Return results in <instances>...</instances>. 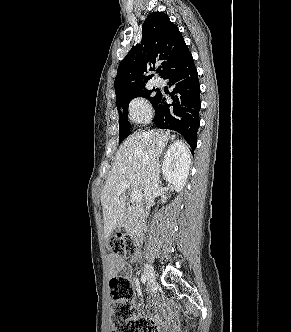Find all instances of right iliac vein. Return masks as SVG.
I'll use <instances>...</instances> for the list:
<instances>
[{"instance_id": "right-iliac-vein-1", "label": "right iliac vein", "mask_w": 291, "mask_h": 332, "mask_svg": "<svg viewBox=\"0 0 291 332\" xmlns=\"http://www.w3.org/2000/svg\"><path fill=\"white\" fill-rule=\"evenodd\" d=\"M145 276L147 278L149 286L153 287L156 284V275L151 265L145 264Z\"/></svg>"}]
</instances>
